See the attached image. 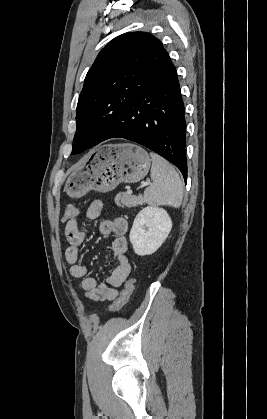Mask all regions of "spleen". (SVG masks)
Returning <instances> with one entry per match:
<instances>
[{
  "instance_id": "1",
  "label": "spleen",
  "mask_w": 267,
  "mask_h": 419,
  "mask_svg": "<svg viewBox=\"0 0 267 419\" xmlns=\"http://www.w3.org/2000/svg\"><path fill=\"white\" fill-rule=\"evenodd\" d=\"M152 184L145 189L143 200L153 206L179 208L183 199V183L174 167L158 154L151 152Z\"/></svg>"
}]
</instances>
